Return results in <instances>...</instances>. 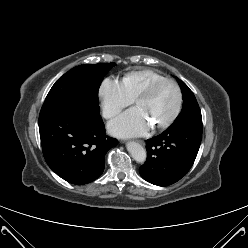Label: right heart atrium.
<instances>
[{
    "label": "right heart atrium",
    "instance_id": "d8ad5b80",
    "mask_svg": "<svg viewBox=\"0 0 248 248\" xmlns=\"http://www.w3.org/2000/svg\"><path fill=\"white\" fill-rule=\"evenodd\" d=\"M99 98L103 115L106 119L114 118L123 108L133 101L124 89L122 83L113 78L103 80L99 88Z\"/></svg>",
    "mask_w": 248,
    "mask_h": 248
}]
</instances>
